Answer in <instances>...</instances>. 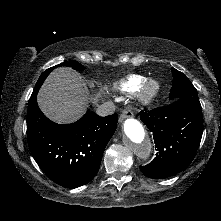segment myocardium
Returning <instances> with one entry per match:
<instances>
[{
  "instance_id": "f54148a6",
  "label": "myocardium",
  "mask_w": 221,
  "mask_h": 221,
  "mask_svg": "<svg viewBox=\"0 0 221 221\" xmlns=\"http://www.w3.org/2000/svg\"><path fill=\"white\" fill-rule=\"evenodd\" d=\"M161 84L156 79H148L138 91L139 102L143 106H150L159 97Z\"/></svg>"
}]
</instances>
